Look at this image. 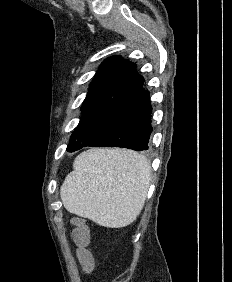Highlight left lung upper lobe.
Wrapping results in <instances>:
<instances>
[{"instance_id": "left-lung-upper-lobe-1", "label": "left lung upper lobe", "mask_w": 232, "mask_h": 282, "mask_svg": "<svg viewBox=\"0 0 232 282\" xmlns=\"http://www.w3.org/2000/svg\"><path fill=\"white\" fill-rule=\"evenodd\" d=\"M135 70V64L120 56H111L104 60L90 84L81 108L83 117L71 135L68 147L82 144L90 138L99 115Z\"/></svg>"}]
</instances>
